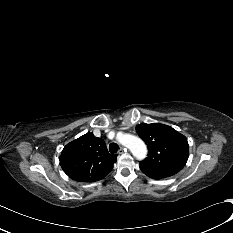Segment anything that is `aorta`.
Instances as JSON below:
<instances>
[{"mask_svg": "<svg viewBox=\"0 0 233 233\" xmlns=\"http://www.w3.org/2000/svg\"><path fill=\"white\" fill-rule=\"evenodd\" d=\"M119 142L130 149L131 153L138 160L144 159L147 154V148L144 142L130 134L122 135L118 138Z\"/></svg>", "mask_w": 233, "mask_h": 233, "instance_id": "1", "label": "aorta"}]
</instances>
